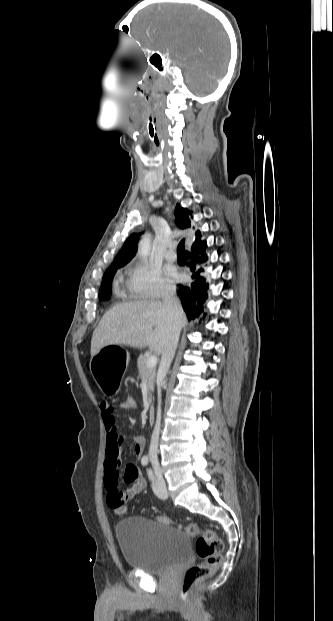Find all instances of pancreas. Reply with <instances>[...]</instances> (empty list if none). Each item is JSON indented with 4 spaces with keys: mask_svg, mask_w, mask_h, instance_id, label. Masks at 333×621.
Instances as JSON below:
<instances>
[{
    "mask_svg": "<svg viewBox=\"0 0 333 621\" xmlns=\"http://www.w3.org/2000/svg\"><path fill=\"white\" fill-rule=\"evenodd\" d=\"M147 355H140L137 360L138 376L146 381L148 395L151 398L154 392V383L156 376V367L147 366Z\"/></svg>",
    "mask_w": 333,
    "mask_h": 621,
    "instance_id": "1",
    "label": "pancreas"
}]
</instances>
